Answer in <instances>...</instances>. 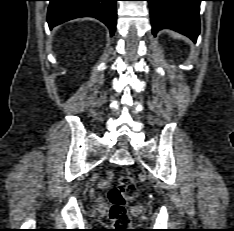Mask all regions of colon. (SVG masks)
<instances>
[{
	"label": "colon",
	"mask_w": 234,
	"mask_h": 231,
	"mask_svg": "<svg viewBox=\"0 0 234 231\" xmlns=\"http://www.w3.org/2000/svg\"><path fill=\"white\" fill-rule=\"evenodd\" d=\"M138 195L135 180L130 175L119 178L116 185L108 192L109 218L118 231H128L131 218L127 209L128 202L134 200Z\"/></svg>",
	"instance_id": "1"
}]
</instances>
